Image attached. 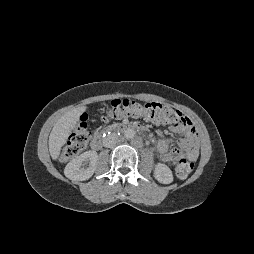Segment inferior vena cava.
Returning <instances> with one entry per match:
<instances>
[{
    "mask_svg": "<svg viewBox=\"0 0 254 254\" xmlns=\"http://www.w3.org/2000/svg\"><path fill=\"white\" fill-rule=\"evenodd\" d=\"M118 136L116 134H109L103 140V145L106 148H112L117 142Z\"/></svg>",
    "mask_w": 254,
    "mask_h": 254,
    "instance_id": "inferior-vena-cava-1",
    "label": "inferior vena cava"
}]
</instances>
